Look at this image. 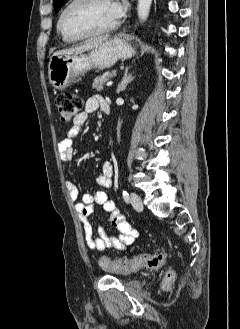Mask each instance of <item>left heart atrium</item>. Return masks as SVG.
<instances>
[{
  "label": "left heart atrium",
  "mask_w": 240,
  "mask_h": 329,
  "mask_svg": "<svg viewBox=\"0 0 240 329\" xmlns=\"http://www.w3.org/2000/svg\"><path fill=\"white\" fill-rule=\"evenodd\" d=\"M110 1H111V7H112L115 17L117 19L122 17L125 12L124 3L119 0H110Z\"/></svg>",
  "instance_id": "39dd6f15"
}]
</instances>
